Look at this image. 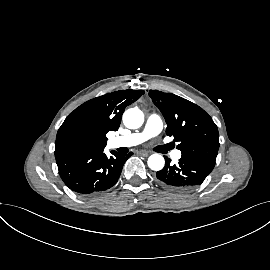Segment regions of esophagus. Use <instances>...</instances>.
Wrapping results in <instances>:
<instances>
[{
	"label": "esophagus",
	"instance_id": "esophagus-1",
	"mask_svg": "<svg viewBox=\"0 0 270 270\" xmlns=\"http://www.w3.org/2000/svg\"><path fill=\"white\" fill-rule=\"evenodd\" d=\"M139 154L144 156V157H147L150 155V153L148 151H139Z\"/></svg>",
	"mask_w": 270,
	"mask_h": 270
}]
</instances>
